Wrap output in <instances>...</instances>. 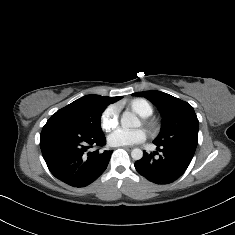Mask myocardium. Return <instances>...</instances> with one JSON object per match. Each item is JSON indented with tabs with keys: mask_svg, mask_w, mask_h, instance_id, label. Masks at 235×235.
Masks as SVG:
<instances>
[{
	"mask_svg": "<svg viewBox=\"0 0 235 235\" xmlns=\"http://www.w3.org/2000/svg\"><path fill=\"white\" fill-rule=\"evenodd\" d=\"M142 122L146 124L151 130H155L158 128V122L154 119L150 121L143 119Z\"/></svg>",
	"mask_w": 235,
	"mask_h": 235,
	"instance_id": "myocardium-1",
	"label": "myocardium"
}]
</instances>
